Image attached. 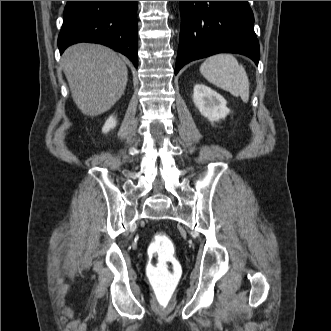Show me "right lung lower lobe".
<instances>
[{
	"mask_svg": "<svg viewBox=\"0 0 331 331\" xmlns=\"http://www.w3.org/2000/svg\"><path fill=\"white\" fill-rule=\"evenodd\" d=\"M78 42L106 45L137 67V1H67L58 37L60 54Z\"/></svg>",
	"mask_w": 331,
	"mask_h": 331,
	"instance_id": "right-lung-lower-lobe-1",
	"label": "right lung lower lobe"
}]
</instances>
